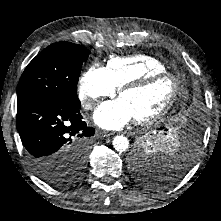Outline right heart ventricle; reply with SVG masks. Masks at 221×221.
I'll use <instances>...</instances> for the list:
<instances>
[{"instance_id": "1", "label": "right heart ventricle", "mask_w": 221, "mask_h": 221, "mask_svg": "<svg viewBox=\"0 0 221 221\" xmlns=\"http://www.w3.org/2000/svg\"><path fill=\"white\" fill-rule=\"evenodd\" d=\"M106 69L116 88L148 74L166 71L161 61L145 54L111 57Z\"/></svg>"}]
</instances>
